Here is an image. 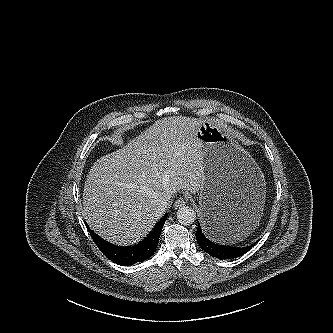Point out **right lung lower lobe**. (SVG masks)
I'll use <instances>...</instances> for the list:
<instances>
[{
  "mask_svg": "<svg viewBox=\"0 0 333 333\" xmlns=\"http://www.w3.org/2000/svg\"><path fill=\"white\" fill-rule=\"evenodd\" d=\"M167 217L168 214H165L143 241L129 247L111 244L95 234L90 228L88 230L97 247L108 259L117 264L128 266L148 259L155 252Z\"/></svg>",
  "mask_w": 333,
  "mask_h": 333,
  "instance_id": "right-lung-lower-lobe-1",
  "label": "right lung lower lobe"
}]
</instances>
